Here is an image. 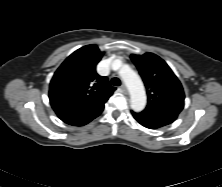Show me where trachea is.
Wrapping results in <instances>:
<instances>
[{
	"mask_svg": "<svg viewBox=\"0 0 222 187\" xmlns=\"http://www.w3.org/2000/svg\"><path fill=\"white\" fill-rule=\"evenodd\" d=\"M111 84L114 85V86H120L121 85V81L119 78H113L111 80Z\"/></svg>",
	"mask_w": 222,
	"mask_h": 187,
	"instance_id": "3493384b",
	"label": "trachea"
}]
</instances>
